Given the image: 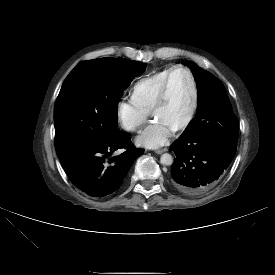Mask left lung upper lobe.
<instances>
[{
  "instance_id": "1",
  "label": "left lung upper lobe",
  "mask_w": 275,
  "mask_h": 275,
  "mask_svg": "<svg viewBox=\"0 0 275 275\" xmlns=\"http://www.w3.org/2000/svg\"><path fill=\"white\" fill-rule=\"evenodd\" d=\"M196 79L198 106L196 117L180 137H198L207 134H227L238 140V122L222 82L197 65L182 61Z\"/></svg>"
}]
</instances>
